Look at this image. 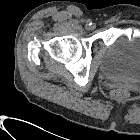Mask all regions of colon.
Here are the masks:
<instances>
[{
	"instance_id": "1",
	"label": "colon",
	"mask_w": 140,
	"mask_h": 140,
	"mask_svg": "<svg viewBox=\"0 0 140 140\" xmlns=\"http://www.w3.org/2000/svg\"><path fill=\"white\" fill-rule=\"evenodd\" d=\"M129 94V90L124 87H118L111 92L112 97L117 100L126 99Z\"/></svg>"
}]
</instances>
